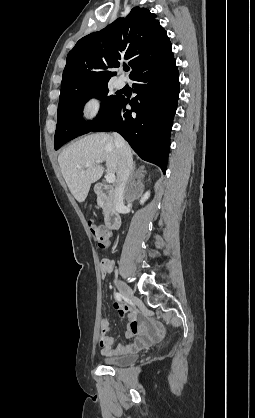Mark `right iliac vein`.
<instances>
[{"label":"right iliac vein","mask_w":255,"mask_h":418,"mask_svg":"<svg viewBox=\"0 0 255 418\" xmlns=\"http://www.w3.org/2000/svg\"><path fill=\"white\" fill-rule=\"evenodd\" d=\"M116 286L119 289L120 293L125 297L126 299L132 300L134 297L132 289L123 283L122 281H117Z\"/></svg>","instance_id":"1"}]
</instances>
